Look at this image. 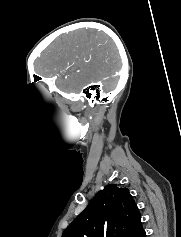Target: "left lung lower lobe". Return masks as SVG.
<instances>
[{
	"label": "left lung lower lobe",
	"mask_w": 181,
	"mask_h": 237,
	"mask_svg": "<svg viewBox=\"0 0 181 237\" xmlns=\"http://www.w3.org/2000/svg\"><path fill=\"white\" fill-rule=\"evenodd\" d=\"M137 237H146L145 231L143 230L141 233L137 235Z\"/></svg>",
	"instance_id": "0a47b994"
}]
</instances>
